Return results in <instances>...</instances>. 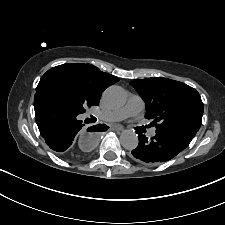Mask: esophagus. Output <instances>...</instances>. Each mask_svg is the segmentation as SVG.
Masks as SVG:
<instances>
[{"label":"esophagus","instance_id":"1","mask_svg":"<svg viewBox=\"0 0 225 225\" xmlns=\"http://www.w3.org/2000/svg\"><path fill=\"white\" fill-rule=\"evenodd\" d=\"M113 128L116 130V131H123V127L121 125H114Z\"/></svg>","mask_w":225,"mask_h":225}]
</instances>
